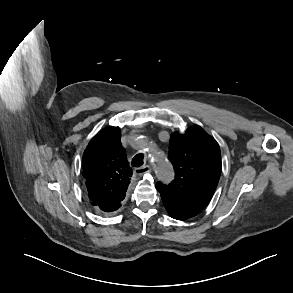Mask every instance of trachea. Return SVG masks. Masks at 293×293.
<instances>
[{
	"mask_svg": "<svg viewBox=\"0 0 293 293\" xmlns=\"http://www.w3.org/2000/svg\"><path fill=\"white\" fill-rule=\"evenodd\" d=\"M143 155L142 154H137L134 156L132 159V166L133 167H140L143 165Z\"/></svg>",
	"mask_w": 293,
	"mask_h": 293,
	"instance_id": "obj_1",
	"label": "trachea"
}]
</instances>
